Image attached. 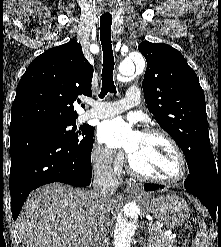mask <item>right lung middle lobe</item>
<instances>
[{"label": "right lung middle lobe", "instance_id": "obj_1", "mask_svg": "<svg viewBox=\"0 0 221 247\" xmlns=\"http://www.w3.org/2000/svg\"><path fill=\"white\" fill-rule=\"evenodd\" d=\"M72 130L68 127L72 126ZM75 121L64 122V123H45L28 127L26 129L37 130L48 133L61 141L69 143L74 146H79L82 149H89L93 144L94 131L93 127L83 126L80 127L79 132H75L76 127ZM79 135H83V138H79Z\"/></svg>", "mask_w": 221, "mask_h": 247}]
</instances>
